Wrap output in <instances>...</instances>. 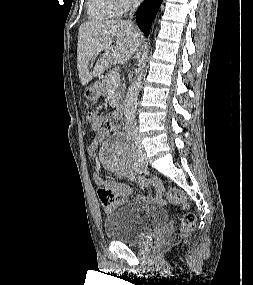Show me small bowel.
Segmentation results:
<instances>
[{
  "label": "small bowel",
  "mask_w": 253,
  "mask_h": 285,
  "mask_svg": "<svg viewBox=\"0 0 253 285\" xmlns=\"http://www.w3.org/2000/svg\"><path fill=\"white\" fill-rule=\"evenodd\" d=\"M100 117L103 126L111 125V122L109 121V118H111V113H101ZM92 128L96 130V133L88 147V153L90 155H94L97 152L100 144L103 142V140L106 138L108 134V130L106 128L101 127V124L98 127H92ZM130 180H135V179H130ZM95 181L97 182V184L101 185L102 187H108L115 190L121 197H127L132 194V189L124 183L115 182V181H104L97 174L95 175ZM137 182L141 185L149 183L155 192L154 196L150 197L137 196L138 201L148 202L158 205H164L166 203L164 198L165 188L159 178L152 177L150 179H146L144 177H139L137 178ZM105 208L108 209L109 206H106Z\"/></svg>",
  "instance_id": "1"
}]
</instances>
